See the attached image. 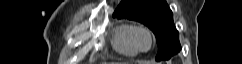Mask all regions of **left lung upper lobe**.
Returning a JSON list of instances; mask_svg holds the SVG:
<instances>
[{
	"instance_id": "left-lung-upper-lobe-1",
	"label": "left lung upper lobe",
	"mask_w": 242,
	"mask_h": 64,
	"mask_svg": "<svg viewBox=\"0 0 242 64\" xmlns=\"http://www.w3.org/2000/svg\"><path fill=\"white\" fill-rule=\"evenodd\" d=\"M113 17L139 21L156 36L157 61L169 59L181 50L179 33L166 0H122Z\"/></svg>"
}]
</instances>
